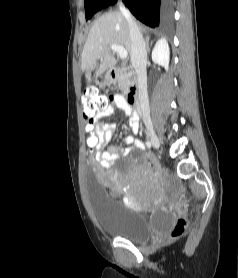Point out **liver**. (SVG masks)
<instances>
[{
	"label": "liver",
	"instance_id": "obj_1",
	"mask_svg": "<svg viewBox=\"0 0 238 278\" xmlns=\"http://www.w3.org/2000/svg\"><path fill=\"white\" fill-rule=\"evenodd\" d=\"M111 44L122 46L131 54L128 23L119 11H112L97 18L89 32L81 57V69L87 83L92 80L91 72L95 69L97 60H100V66L96 77L115 67L117 61L110 48Z\"/></svg>",
	"mask_w": 238,
	"mask_h": 278
}]
</instances>
